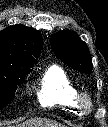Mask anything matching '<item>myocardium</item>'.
Returning <instances> with one entry per match:
<instances>
[{
  "instance_id": "myocardium-1",
  "label": "myocardium",
  "mask_w": 108,
  "mask_h": 127,
  "mask_svg": "<svg viewBox=\"0 0 108 127\" xmlns=\"http://www.w3.org/2000/svg\"><path fill=\"white\" fill-rule=\"evenodd\" d=\"M77 107L83 111H89L92 108V98L88 93H78L76 97Z\"/></svg>"
}]
</instances>
